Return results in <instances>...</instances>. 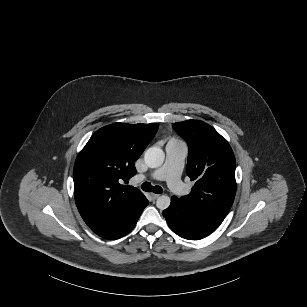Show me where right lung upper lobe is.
Listing matches in <instances>:
<instances>
[{
	"label": "right lung upper lobe",
	"instance_id": "1",
	"mask_svg": "<svg viewBox=\"0 0 307 307\" xmlns=\"http://www.w3.org/2000/svg\"><path fill=\"white\" fill-rule=\"evenodd\" d=\"M159 124L114 123L97 130L76 158L73 179L77 208L93 228L121 214L143 196L123 181L136 174L134 162Z\"/></svg>",
	"mask_w": 307,
	"mask_h": 307
}]
</instances>
